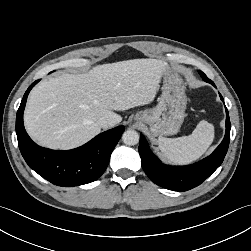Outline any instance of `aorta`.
I'll list each match as a JSON object with an SVG mask.
<instances>
[{"label":"aorta","instance_id":"1","mask_svg":"<svg viewBox=\"0 0 251 251\" xmlns=\"http://www.w3.org/2000/svg\"><path fill=\"white\" fill-rule=\"evenodd\" d=\"M122 140L126 145H136L139 142V134L134 130H127L123 133Z\"/></svg>","mask_w":251,"mask_h":251}]
</instances>
